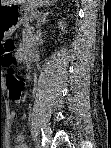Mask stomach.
I'll use <instances>...</instances> for the list:
<instances>
[{
  "label": "stomach",
  "instance_id": "1",
  "mask_svg": "<svg viewBox=\"0 0 111 148\" xmlns=\"http://www.w3.org/2000/svg\"><path fill=\"white\" fill-rule=\"evenodd\" d=\"M36 0H23L19 4L2 5L0 7V41L7 40L21 25L23 12Z\"/></svg>",
  "mask_w": 111,
  "mask_h": 148
}]
</instances>
